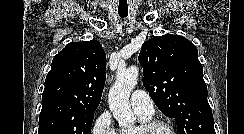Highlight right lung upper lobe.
<instances>
[{"mask_svg": "<svg viewBox=\"0 0 244 134\" xmlns=\"http://www.w3.org/2000/svg\"><path fill=\"white\" fill-rule=\"evenodd\" d=\"M106 79V54L96 40L72 42L52 61L45 80L42 104L62 101L98 107Z\"/></svg>", "mask_w": 244, "mask_h": 134, "instance_id": "1", "label": "right lung upper lobe"}]
</instances>
